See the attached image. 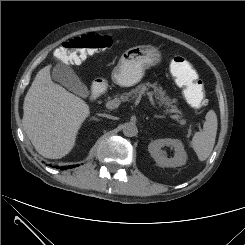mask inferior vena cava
<instances>
[{"label":"inferior vena cava","mask_w":245,"mask_h":245,"mask_svg":"<svg viewBox=\"0 0 245 245\" xmlns=\"http://www.w3.org/2000/svg\"><path fill=\"white\" fill-rule=\"evenodd\" d=\"M101 117H106V118H110V119H115V117L111 116V115H107V114H98Z\"/></svg>","instance_id":"1"}]
</instances>
